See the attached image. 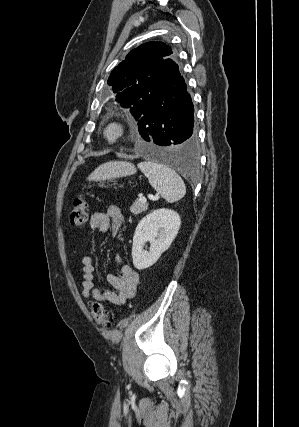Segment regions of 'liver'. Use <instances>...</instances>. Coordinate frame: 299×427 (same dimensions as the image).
<instances>
[{"mask_svg": "<svg viewBox=\"0 0 299 427\" xmlns=\"http://www.w3.org/2000/svg\"><path fill=\"white\" fill-rule=\"evenodd\" d=\"M136 172L133 164L125 161H110L97 167L87 178L89 181L106 180L120 176L132 175Z\"/></svg>", "mask_w": 299, "mask_h": 427, "instance_id": "6515ba94", "label": "liver"}]
</instances>
